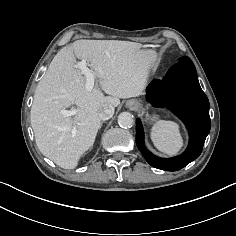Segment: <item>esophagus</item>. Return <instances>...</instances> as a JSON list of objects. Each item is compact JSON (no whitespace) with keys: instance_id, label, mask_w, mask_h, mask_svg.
Masks as SVG:
<instances>
[{"instance_id":"obj_1","label":"esophagus","mask_w":236,"mask_h":236,"mask_svg":"<svg viewBox=\"0 0 236 236\" xmlns=\"http://www.w3.org/2000/svg\"><path fill=\"white\" fill-rule=\"evenodd\" d=\"M127 106L130 108V109H138L141 107V103L138 101V100H129L127 102Z\"/></svg>"}]
</instances>
